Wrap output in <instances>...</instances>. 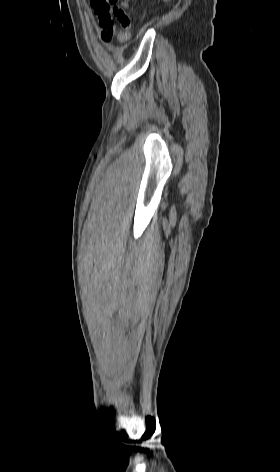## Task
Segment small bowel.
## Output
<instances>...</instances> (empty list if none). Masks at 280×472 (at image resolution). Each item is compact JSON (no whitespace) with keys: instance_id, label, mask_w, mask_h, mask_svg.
<instances>
[{"instance_id":"1","label":"small bowel","mask_w":280,"mask_h":472,"mask_svg":"<svg viewBox=\"0 0 280 472\" xmlns=\"http://www.w3.org/2000/svg\"><path fill=\"white\" fill-rule=\"evenodd\" d=\"M123 7L128 6V0H124L122 3ZM101 27V38L104 42L110 43L114 38L118 39L121 42L127 41L129 39V34L124 31H117L114 24L102 25Z\"/></svg>"}]
</instances>
